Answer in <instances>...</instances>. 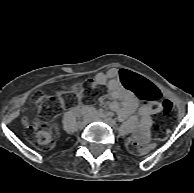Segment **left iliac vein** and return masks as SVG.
Wrapping results in <instances>:
<instances>
[{
	"label": "left iliac vein",
	"instance_id": "left-iliac-vein-1",
	"mask_svg": "<svg viewBox=\"0 0 194 193\" xmlns=\"http://www.w3.org/2000/svg\"><path fill=\"white\" fill-rule=\"evenodd\" d=\"M93 120H98V119L97 118H94ZM104 122L106 124H108L109 126H112V127L116 125V121L113 120V119H111V118H105L104 119Z\"/></svg>",
	"mask_w": 194,
	"mask_h": 193
}]
</instances>
